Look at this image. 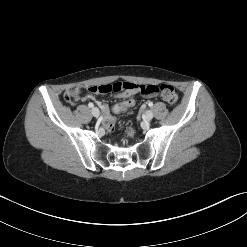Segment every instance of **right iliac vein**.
<instances>
[{
    "mask_svg": "<svg viewBox=\"0 0 247 247\" xmlns=\"http://www.w3.org/2000/svg\"><path fill=\"white\" fill-rule=\"evenodd\" d=\"M91 112L94 117H98L100 115V111L96 107L92 108Z\"/></svg>",
    "mask_w": 247,
    "mask_h": 247,
    "instance_id": "right-iliac-vein-1",
    "label": "right iliac vein"
}]
</instances>
